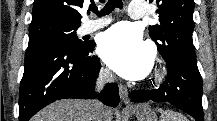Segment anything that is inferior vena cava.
<instances>
[{
  "label": "inferior vena cava",
  "instance_id": "inferior-vena-cava-1",
  "mask_svg": "<svg viewBox=\"0 0 217 121\" xmlns=\"http://www.w3.org/2000/svg\"><path fill=\"white\" fill-rule=\"evenodd\" d=\"M113 79V75L107 69H102L96 81V91H100L105 82H112ZM90 104L89 121H104V106L101 102L92 100Z\"/></svg>",
  "mask_w": 217,
  "mask_h": 121
}]
</instances>
